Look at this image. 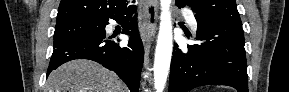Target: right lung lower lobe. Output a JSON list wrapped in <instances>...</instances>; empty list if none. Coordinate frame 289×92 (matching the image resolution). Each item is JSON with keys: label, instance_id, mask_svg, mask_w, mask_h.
I'll return each instance as SVG.
<instances>
[{"label": "right lung lower lobe", "instance_id": "obj_1", "mask_svg": "<svg viewBox=\"0 0 289 92\" xmlns=\"http://www.w3.org/2000/svg\"><path fill=\"white\" fill-rule=\"evenodd\" d=\"M136 6L126 12L112 17L116 21L124 20L122 33L130 36L127 47H119L115 41L106 37L105 26L108 20L102 21V30L91 36L75 38L54 46L47 75L65 62L74 59H89L113 70L129 87L131 92H138L140 73L144 60L143 44L139 36L136 15L124 17L125 14L135 13ZM130 18V22L126 18Z\"/></svg>", "mask_w": 289, "mask_h": 92}]
</instances>
